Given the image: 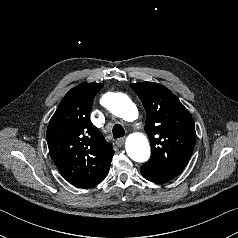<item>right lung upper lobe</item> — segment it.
<instances>
[{
    "label": "right lung upper lobe",
    "instance_id": "cb5924a9",
    "mask_svg": "<svg viewBox=\"0 0 238 238\" xmlns=\"http://www.w3.org/2000/svg\"><path fill=\"white\" fill-rule=\"evenodd\" d=\"M100 83H83L61 100L47 128V144L61 175L85 187L109 171L114 151L91 123L90 112Z\"/></svg>",
    "mask_w": 238,
    "mask_h": 238
}]
</instances>
